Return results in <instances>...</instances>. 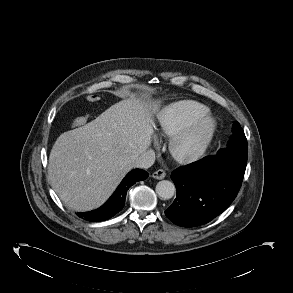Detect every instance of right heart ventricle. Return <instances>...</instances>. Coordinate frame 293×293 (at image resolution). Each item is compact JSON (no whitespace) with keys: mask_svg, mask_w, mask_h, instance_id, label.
I'll use <instances>...</instances> for the list:
<instances>
[{"mask_svg":"<svg viewBox=\"0 0 293 293\" xmlns=\"http://www.w3.org/2000/svg\"><path fill=\"white\" fill-rule=\"evenodd\" d=\"M208 113V108L196 101L174 102L158 115L157 130L160 135L172 137L193 120Z\"/></svg>","mask_w":293,"mask_h":293,"instance_id":"obj_1","label":"right heart ventricle"}]
</instances>
